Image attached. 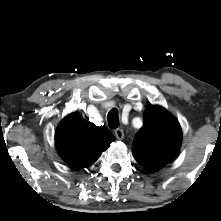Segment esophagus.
I'll use <instances>...</instances> for the list:
<instances>
[{
    "label": "esophagus",
    "instance_id": "1",
    "mask_svg": "<svg viewBox=\"0 0 221 221\" xmlns=\"http://www.w3.org/2000/svg\"><path fill=\"white\" fill-rule=\"evenodd\" d=\"M115 135H116V137H117L118 139H120V140L124 138V132H123V130L120 129V128H117V129L115 130Z\"/></svg>",
    "mask_w": 221,
    "mask_h": 221
}]
</instances>
